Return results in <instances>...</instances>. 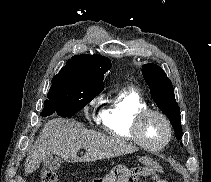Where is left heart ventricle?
Wrapping results in <instances>:
<instances>
[{
	"label": "left heart ventricle",
	"mask_w": 211,
	"mask_h": 182,
	"mask_svg": "<svg viewBox=\"0 0 211 182\" xmlns=\"http://www.w3.org/2000/svg\"><path fill=\"white\" fill-rule=\"evenodd\" d=\"M141 134L147 144L157 146L165 140L167 128L159 116L148 115L142 122Z\"/></svg>",
	"instance_id": "1"
}]
</instances>
